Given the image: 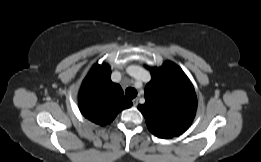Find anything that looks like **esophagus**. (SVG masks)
<instances>
[{"instance_id": "obj_1", "label": "esophagus", "mask_w": 261, "mask_h": 162, "mask_svg": "<svg viewBox=\"0 0 261 162\" xmlns=\"http://www.w3.org/2000/svg\"><path fill=\"white\" fill-rule=\"evenodd\" d=\"M132 103H133L134 106H137L138 105V98L133 99Z\"/></svg>"}]
</instances>
